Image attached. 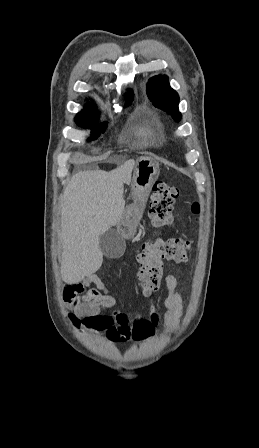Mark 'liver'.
Listing matches in <instances>:
<instances>
[{
  "instance_id": "liver-1",
  "label": "liver",
  "mask_w": 259,
  "mask_h": 448,
  "mask_svg": "<svg viewBox=\"0 0 259 448\" xmlns=\"http://www.w3.org/2000/svg\"><path fill=\"white\" fill-rule=\"evenodd\" d=\"M133 168L134 160H128L112 172H78L66 186L61 200V278L66 284H78L101 268L99 238L123 218V184L130 182Z\"/></svg>"
}]
</instances>
